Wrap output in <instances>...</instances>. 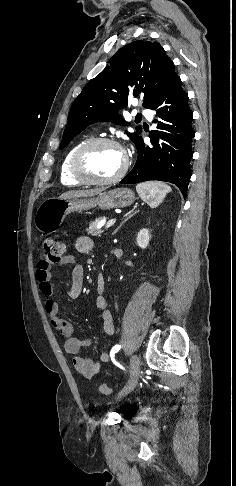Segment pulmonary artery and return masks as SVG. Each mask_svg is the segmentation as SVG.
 <instances>
[{
	"instance_id": "obj_1",
	"label": "pulmonary artery",
	"mask_w": 236,
	"mask_h": 486,
	"mask_svg": "<svg viewBox=\"0 0 236 486\" xmlns=\"http://www.w3.org/2000/svg\"><path fill=\"white\" fill-rule=\"evenodd\" d=\"M141 113L145 115L149 120L152 119L153 114L151 110L144 108L141 110Z\"/></svg>"
}]
</instances>
